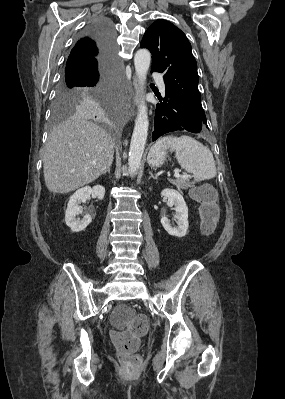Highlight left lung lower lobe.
<instances>
[{
	"label": "left lung lower lobe",
	"mask_w": 285,
	"mask_h": 399,
	"mask_svg": "<svg viewBox=\"0 0 285 399\" xmlns=\"http://www.w3.org/2000/svg\"><path fill=\"white\" fill-rule=\"evenodd\" d=\"M155 111L154 131L152 140L173 131H189L204 133L207 127L202 120L192 112L176 95L165 90V98L159 97Z\"/></svg>",
	"instance_id": "1"
}]
</instances>
